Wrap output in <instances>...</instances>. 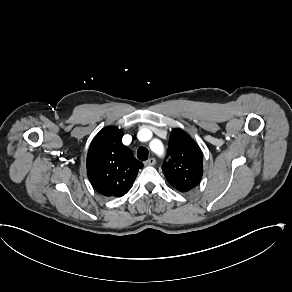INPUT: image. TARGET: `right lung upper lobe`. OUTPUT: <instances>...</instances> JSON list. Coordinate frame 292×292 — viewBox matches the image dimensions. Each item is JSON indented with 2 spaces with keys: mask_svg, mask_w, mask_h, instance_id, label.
Segmentation results:
<instances>
[{
  "mask_svg": "<svg viewBox=\"0 0 292 292\" xmlns=\"http://www.w3.org/2000/svg\"><path fill=\"white\" fill-rule=\"evenodd\" d=\"M123 131L108 126L93 139L87 154V175L94 189L107 197H122L133 185L143 163L122 144Z\"/></svg>",
  "mask_w": 292,
  "mask_h": 292,
  "instance_id": "cb5924a9",
  "label": "right lung upper lobe"
}]
</instances>
